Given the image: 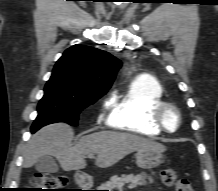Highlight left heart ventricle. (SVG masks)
<instances>
[{
    "label": "left heart ventricle",
    "instance_id": "obj_1",
    "mask_svg": "<svg viewBox=\"0 0 218 191\" xmlns=\"http://www.w3.org/2000/svg\"><path fill=\"white\" fill-rule=\"evenodd\" d=\"M164 122L168 129H175L178 124L176 112L172 109L167 110L164 115Z\"/></svg>",
    "mask_w": 218,
    "mask_h": 191
}]
</instances>
